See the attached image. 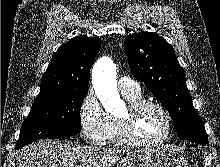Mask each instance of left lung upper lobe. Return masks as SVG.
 <instances>
[{
    "label": "left lung upper lobe",
    "instance_id": "5c2ea615",
    "mask_svg": "<svg viewBox=\"0 0 220 167\" xmlns=\"http://www.w3.org/2000/svg\"><path fill=\"white\" fill-rule=\"evenodd\" d=\"M125 50L132 73L169 112L180 139L207 142L172 46L155 33L139 32L126 38Z\"/></svg>",
    "mask_w": 220,
    "mask_h": 167
}]
</instances>
